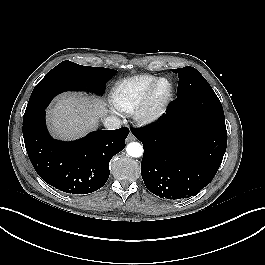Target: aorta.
<instances>
[{"mask_svg":"<svg viewBox=\"0 0 265 265\" xmlns=\"http://www.w3.org/2000/svg\"><path fill=\"white\" fill-rule=\"evenodd\" d=\"M126 152L130 157L139 158L143 155V146L138 142H130L126 146Z\"/></svg>","mask_w":265,"mask_h":265,"instance_id":"1","label":"aorta"}]
</instances>
